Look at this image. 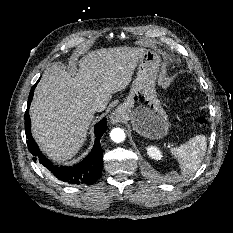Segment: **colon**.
<instances>
[{
  "label": "colon",
  "mask_w": 233,
  "mask_h": 233,
  "mask_svg": "<svg viewBox=\"0 0 233 233\" xmlns=\"http://www.w3.org/2000/svg\"><path fill=\"white\" fill-rule=\"evenodd\" d=\"M195 122L200 128H206L207 121L206 118L203 115H197L195 117Z\"/></svg>",
  "instance_id": "1"
}]
</instances>
